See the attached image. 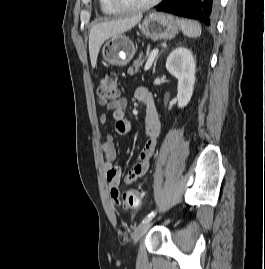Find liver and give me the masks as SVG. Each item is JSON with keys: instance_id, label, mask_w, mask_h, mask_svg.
Here are the masks:
<instances>
[{"instance_id": "obj_1", "label": "liver", "mask_w": 265, "mask_h": 269, "mask_svg": "<svg viewBox=\"0 0 265 269\" xmlns=\"http://www.w3.org/2000/svg\"><path fill=\"white\" fill-rule=\"evenodd\" d=\"M141 19L142 15H137L94 25L89 34V55L92 67L95 68L100 48L107 39L128 31Z\"/></svg>"}]
</instances>
